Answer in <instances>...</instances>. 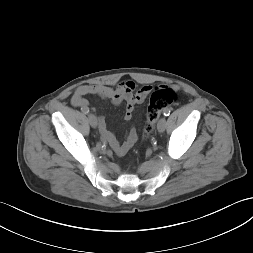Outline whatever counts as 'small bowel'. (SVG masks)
<instances>
[{
  "label": "small bowel",
  "mask_w": 253,
  "mask_h": 253,
  "mask_svg": "<svg viewBox=\"0 0 253 253\" xmlns=\"http://www.w3.org/2000/svg\"><path fill=\"white\" fill-rule=\"evenodd\" d=\"M153 87L144 85L136 89L133 81H123L116 88H112L102 84H85L79 86L71 97V103L74 107L80 108L82 111L89 109L87 95H96L103 99H108L114 104L126 102L124 118L129 121L132 119L134 107L142 103L147 95L152 91ZM99 132L101 136L109 142L117 155H124L137 140V132L135 128H131L123 143H120L116 136L107 129L105 120L99 119Z\"/></svg>",
  "instance_id": "1"
}]
</instances>
